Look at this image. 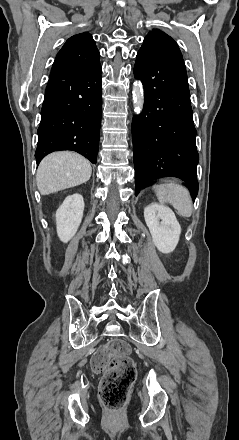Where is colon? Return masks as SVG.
Wrapping results in <instances>:
<instances>
[{"label":"colon","instance_id":"5ec220e1","mask_svg":"<svg viewBox=\"0 0 239 440\" xmlns=\"http://www.w3.org/2000/svg\"><path fill=\"white\" fill-rule=\"evenodd\" d=\"M92 367L102 374L99 390L103 405L112 411L121 409L136 378L128 343L115 339L101 347L93 356Z\"/></svg>","mask_w":239,"mask_h":440}]
</instances>
